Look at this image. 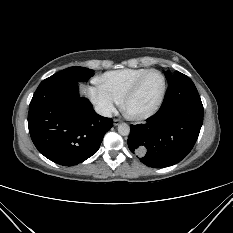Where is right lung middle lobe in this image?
I'll use <instances>...</instances> for the list:
<instances>
[{
	"instance_id": "obj_1",
	"label": "right lung middle lobe",
	"mask_w": 233,
	"mask_h": 233,
	"mask_svg": "<svg viewBox=\"0 0 233 233\" xmlns=\"http://www.w3.org/2000/svg\"><path fill=\"white\" fill-rule=\"evenodd\" d=\"M93 75H94V70H90L84 67H69L52 75L51 77L63 78V79L73 80L76 82H83L88 80Z\"/></svg>"
}]
</instances>
